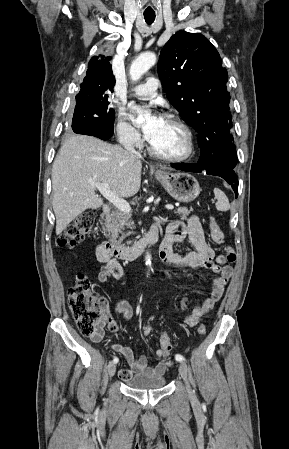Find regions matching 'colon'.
Wrapping results in <instances>:
<instances>
[{"mask_svg":"<svg viewBox=\"0 0 289 449\" xmlns=\"http://www.w3.org/2000/svg\"><path fill=\"white\" fill-rule=\"evenodd\" d=\"M94 221L91 212H84L76 217L66 228L64 234L60 237L61 246H74L81 242L90 231ZM210 235L216 245L224 243V234L216 220L211 217L209 220ZM226 260L229 263L235 261V252L232 247H226ZM68 306L77 324L79 332L86 337L95 336L101 324V310L103 300L96 295L90 287V283L85 275H79L75 284L68 290ZM153 329L146 325L142 329L144 336H150ZM198 334L206 333V326L200 325L197 329ZM159 350L166 357L170 353L172 346L170 338L166 333H162L159 339Z\"/></svg>","mask_w":289,"mask_h":449,"instance_id":"colon-1","label":"colon"}]
</instances>
